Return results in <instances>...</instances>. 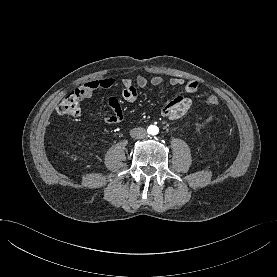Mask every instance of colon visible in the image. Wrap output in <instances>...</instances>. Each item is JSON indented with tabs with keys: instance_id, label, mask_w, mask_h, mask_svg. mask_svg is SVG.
Listing matches in <instances>:
<instances>
[{
	"instance_id": "obj_1",
	"label": "colon",
	"mask_w": 277,
	"mask_h": 277,
	"mask_svg": "<svg viewBox=\"0 0 277 277\" xmlns=\"http://www.w3.org/2000/svg\"><path fill=\"white\" fill-rule=\"evenodd\" d=\"M82 98V93L79 90L71 92L60 102L57 107V112L60 115L78 116ZM206 102L210 106H216L219 103V99L214 93L209 92L206 95Z\"/></svg>"
}]
</instances>
